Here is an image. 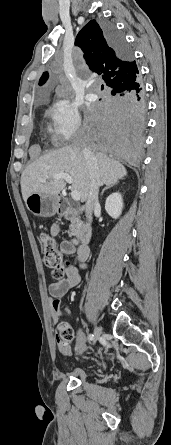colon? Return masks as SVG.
I'll use <instances>...</instances> for the list:
<instances>
[{
  "mask_svg": "<svg viewBox=\"0 0 171 445\" xmlns=\"http://www.w3.org/2000/svg\"><path fill=\"white\" fill-rule=\"evenodd\" d=\"M43 244V259L47 267L52 269L53 277L62 279L64 276V260L57 250L54 239L49 235H41ZM58 339L61 343L69 345L74 340L73 329L67 323H61L58 327ZM81 347L78 350L81 351Z\"/></svg>",
  "mask_w": 171,
  "mask_h": 445,
  "instance_id": "obj_1",
  "label": "colon"
}]
</instances>
